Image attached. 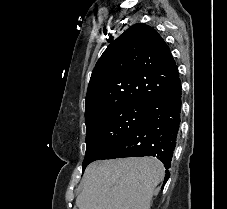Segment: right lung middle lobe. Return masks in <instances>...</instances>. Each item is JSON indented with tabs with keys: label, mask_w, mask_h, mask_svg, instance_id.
Returning a JSON list of instances; mask_svg holds the SVG:
<instances>
[{
	"label": "right lung middle lobe",
	"mask_w": 227,
	"mask_h": 209,
	"mask_svg": "<svg viewBox=\"0 0 227 209\" xmlns=\"http://www.w3.org/2000/svg\"><path fill=\"white\" fill-rule=\"evenodd\" d=\"M103 110L85 120L86 153L83 171L86 166L100 160L141 121L146 103L121 98H108L101 101Z\"/></svg>",
	"instance_id": "dd1d6c3e"
}]
</instances>
